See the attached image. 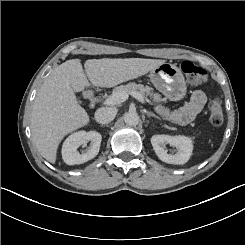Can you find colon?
Masks as SVG:
<instances>
[{"label": "colon", "mask_w": 245, "mask_h": 245, "mask_svg": "<svg viewBox=\"0 0 245 245\" xmlns=\"http://www.w3.org/2000/svg\"><path fill=\"white\" fill-rule=\"evenodd\" d=\"M180 67L191 83L201 85L206 81L207 74L202 67L190 61L182 62ZM207 110L211 124L220 126L223 123V110L220 101L218 99H211L208 103Z\"/></svg>", "instance_id": "1"}]
</instances>
